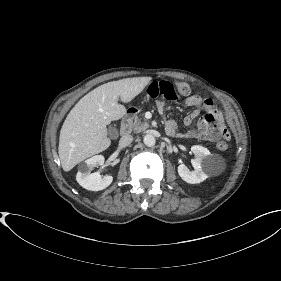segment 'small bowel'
Segmentation results:
<instances>
[{
    "instance_id": "c3829d8e",
    "label": "small bowel",
    "mask_w": 281,
    "mask_h": 281,
    "mask_svg": "<svg viewBox=\"0 0 281 281\" xmlns=\"http://www.w3.org/2000/svg\"><path fill=\"white\" fill-rule=\"evenodd\" d=\"M184 104L186 106L192 107L193 111L187 115L184 119V123L190 126L194 119L200 114L201 111H206V117L200 119L197 122L196 127L190 128L185 134H179L177 131L176 123L172 120H167L165 122V130L170 136H179L187 138H205L209 141H217L222 135V130L225 129L222 125V116L214 108L213 101L210 99H203L198 95H190L184 99ZM156 107L159 113H163L165 110V102L158 100L156 102ZM215 116L218 118V123L216 128H212L211 123L208 121V116Z\"/></svg>"
}]
</instances>
